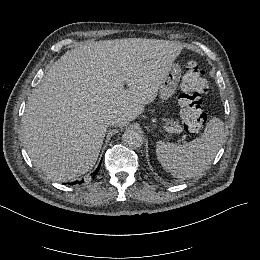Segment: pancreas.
I'll list each match as a JSON object with an SVG mask.
<instances>
[{
  "label": "pancreas",
  "instance_id": "obj_1",
  "mask_svg": "<svg viewBox=\"0 0 260 260\" xmlns=\"http://www.w3.org/2000/svg\"><path fill=\"white\" fill-rule=\"evenodd\" d=\"M171 125L174 126L178 131L182 132V127H181V125H177L176 122H172Z\"/></svg>",
  "mask_w": 260,
  "mask_h": 260
}]
</instances>
